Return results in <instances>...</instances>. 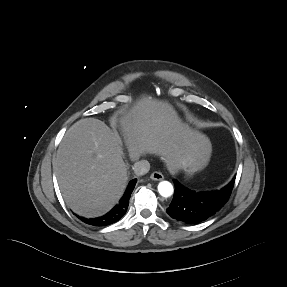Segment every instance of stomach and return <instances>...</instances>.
Segmentation results:
<instances>
[{
    "instance_id": "0dacf381",
    "label": "stomach",
    "mask_w": 287,
    "mask_h": 287,
    "mask_svg": "<svg viewBox=\"0 0 287 287\" xmlns=\"http://www.w3.org/2000/svg\"><path fill=\"white\" fill-rule=\"evenodd\" d=\"M186 177H191L196 172V165L192 161H187V163L181 169Z\"/></svg>"
}]
</instances>
